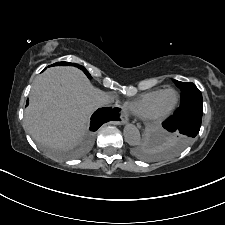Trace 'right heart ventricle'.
Segmentation results:
<instances>
[{
    "label": "right heart ventricle",
    "instance_id": "right-heart-ventricle-1",
    "mask_svg": "<svg viewBox=\"0 0 225 225\" xmlns=\"http://www.w3.org/2000/svg\"><path fill=\"white\" fill-rule=\"evenodd\" d=\"M160 91L161 90H153L141 94L139 97L129 103V110L136 115L143 116L147 111L149 105L152 103V101Z\"/></svg>",
    "mask_w": 225,
    "mask_h": 225
}]
</instances>
